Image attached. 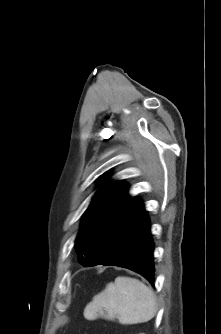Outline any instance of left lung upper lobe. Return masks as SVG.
Masks as SVG:
<instances>
[{
	"label": "left lung upper lobe",
	"instance_id": "left-lung-upper-lobe-1",
	"mask_svg": "<svg viewBox=\"0 0 221 334\" xmlns=\"http://www.w3.org/2000/svg\"><path fill=\"white\" fill-rule=\"evenodd\" d=\"M102 178L107 179L109 175L104 174ZM127 191L124 182H113L104 186L90 203L75 243L80 264L90 266L95 260L94 250L100 238L130 201Z\"/></svg>",
	"mask_w": 221,
	"mask_h": 334
}]
</instances>
